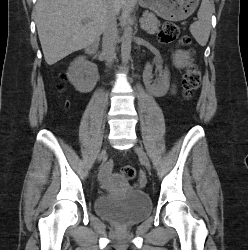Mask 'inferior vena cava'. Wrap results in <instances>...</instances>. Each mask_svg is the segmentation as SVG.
I'll list each match as a JSON object with an SVG mask.
<instances>
[{
  "label": "inferior vena cava",
  "instance_id": "1",
  "mask_svg": "<svg viewBox=\"0 0 248 250\" xmlns=\"http://www.w3.org/2000/svg\"><path fill=\"white\" fill-rule=\"evenodd\" d=\"M117 39V21H116V11L113 7L109 9L106 14L104 29H103V55L108 66H110L115 57V47Z\"/></svg>",
  "mask_w": 248,
  "mask_h": 250
}]
</instances>
